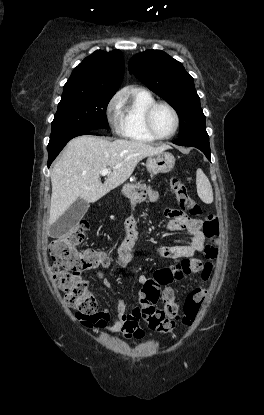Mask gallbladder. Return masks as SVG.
Wrapping results in <instances>:
<instances>
[{
  "label": "gallbladder",
  "mask_w": 264,
  "mask_h": 415,
  "mask_svg": "<svg viewBox=\"0 0 264 415\" xmlns=\"http://www.w3.org/2000/svg\"><path fill=\"white\" fill-rule=\"evenodd\" d=\"M88 208L89 204L85 200L78 198L51 227V236L60 237L65 235L72 227L79 223Z\"/></svg>",
  "instance_id": "1"
}]
</instances>
